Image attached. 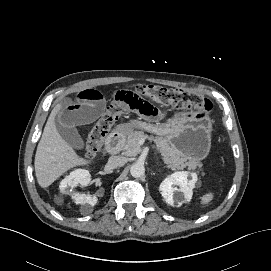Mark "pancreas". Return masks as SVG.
<instances>
[{
  "label": "pancreas",
  "mask_w": 271,
  "mask_h": 271,
  "mask_svg": "<svg viewBox=\"0 0 271 271\" xmlns=\"http://www.w3.org/2000/svg\"><path fill=\"white\" fill-rule=\"evenodd\" d=\"M141 139H149L155 142L157 151L161 154L163 162L169 169L180 170L185 167H189L191 169H196L198 167L200 169L202 166L201 162L199 161L189 162L168 142L167 139L159 136H148L143 131H135L128 135L122 148V154L125 156H135L139 154L141 151L139 141Z\"/></svg>",
  "instance_id": "obj_1"
}]
</instances>
